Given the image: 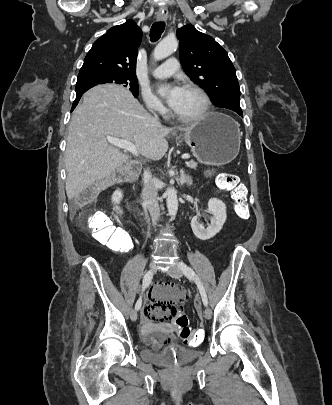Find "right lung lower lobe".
Masks as SVG:
<instances>
[{"label":"right lung lower lobe","instance_id":"1","mask_svg":"<svg viewBox=\"0 0 332 405\" xmlns=\"http://www.w3.org/2000/svg\"><path fill=\"white\" fill-rule=\"evenodd\" d=\"M84 92H85V91L76 93V99H75V101L73 102L72 110H71V111H73V109L75 108V106L78 104V102H79L81 96L84 94Z\"/></svg>","mask_w":332,"mask_h":405}]
</instances>
